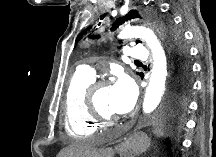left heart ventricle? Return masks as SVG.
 I'll return each mask as SVG.
<instances>
[{
	"instance_id": "b2bd125f",
	"label": "left heart ventricle",
	"mask_w": 216,
	"mask_h": 157,
	"mask_svg": "<svg viewBox=\"0 0 216 157\" xmlns=\"http://www.w3.org/2000/svg\"><path fill=\"white\" fill-rule=\"evenodd\" d=\"M95 101L102 114L111 117H118L120 115L111 108L109 87L100 89L95 96Z\"/></svg>"
}]
</instances>
